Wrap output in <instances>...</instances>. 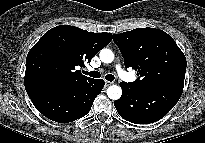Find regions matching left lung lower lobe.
I'll list each match as a JSON object with an SVG mask.
<instances>
[{
    "label": "left lung lower lobe",
    "mask_w": 205,
    "mask_h": 143,
    "mask_svg": "<svg viewBox=\"0 0 205 143\" xmlns=\"http://www.w3.org/2000/svg\"><path fill=\"white\" fill-rule=\"evenodd\" d=\"M122 96L114 102L119 115L135 124L163 118L178 102L183 84L172 83L136 89L121 82Z\"/></svg>",
    "instance_id": "obj_1"
}]
</instances>
